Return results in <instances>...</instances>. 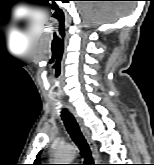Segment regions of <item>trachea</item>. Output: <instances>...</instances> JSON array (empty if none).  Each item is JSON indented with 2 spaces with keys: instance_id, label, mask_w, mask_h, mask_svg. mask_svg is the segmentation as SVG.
<instances>
[{
  "instance_id": "3493384b",
  "label": "trachea",
  "mask_w": 154,
  "mask_h": 165,
  "mask_svg": "<svg viewBox=\"0 0 154 165\" xmlns=\"http://www.w3.org/2000/svg\"><path fill=\"white\" fill-rule=\"evenodd\" d=\"M61 117L69 135L71 136L74 143L80 149L82 156L85 158V164L93 165L90 148L82 132L80 131V127L76 122L75 118L66 109L62 110Z\"/></svg>"
}]
</instances>
